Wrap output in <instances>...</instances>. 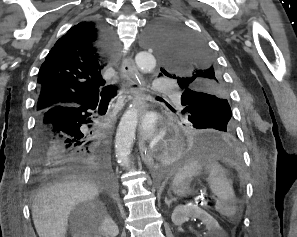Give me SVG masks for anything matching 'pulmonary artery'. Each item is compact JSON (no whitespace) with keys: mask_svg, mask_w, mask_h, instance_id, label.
Returning a JSON list of instances; mask_svg holds the SVG:
<instances>
[{"mask_svg":"<svg viewBox=\"0 0 297 237\" xmlns=\"http://www.w3.org/2000/svg\"><path fill=\"white\" fill-rule=\"evenodd\" d=\"M153 89L158 91H172L174 90V84L170 81L159 79L154 84Z\"/></svg>","mask_w":297,"mask_h":237,"instance_id":"obj_1","label":"pulmonary artery"}]
</instances>
